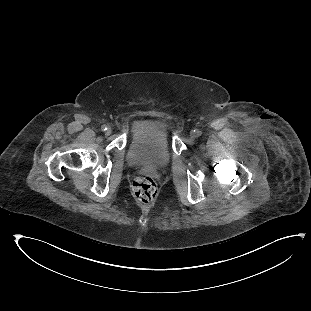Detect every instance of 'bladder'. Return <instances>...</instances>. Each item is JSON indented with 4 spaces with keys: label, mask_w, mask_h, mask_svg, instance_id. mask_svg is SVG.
Returning a JSON list of instances; mask_svg holds the SVG:
<instances>
[{
    "label": "bladder",
    "mask_w": 311,
    "mask_h": 311,
    "mask_svg": "<svg viewBox=\"0 0 311 311\" xmlns=\"http://www.w3.org/2000/svg\"><path fill=\"white\" fill-rule=\"evenodd\" d=\"M172 158L169 132L165 126L147 124L125 146L124 160L138 170H164Z\"/></svg>",
    "instance_id": "1"
}]
</instances>
